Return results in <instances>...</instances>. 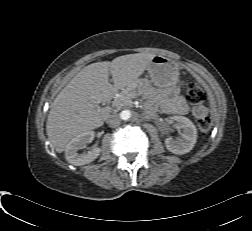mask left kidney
Instances as JSON below:
<instances>
[{
	"label": "left kidney",
	"mask_w": 252,
	"mask_h": 231,
	"mask_svg": "<svg viewBox=\"0 0 252 231\" xmlns=\"http://www.w3.org/2000/svg\"><path fill=\"white\" fill-rule=\"evenodd\" d=\"M177 125L182 128L181 138L174 140L173 138H166V148L174 154H185L192 150L197 139V129L195 125L186 117L174 116L172 117Z\"/></svg>",
	"instance_id": "5707ae66"
}]
</instances>
